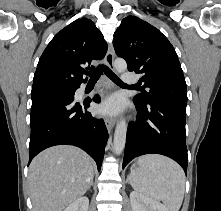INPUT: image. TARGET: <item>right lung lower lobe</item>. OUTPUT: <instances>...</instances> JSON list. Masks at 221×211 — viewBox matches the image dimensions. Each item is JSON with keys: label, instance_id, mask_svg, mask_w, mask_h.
Masks as SVG:
<instances>
[{"label": "right lung lower lobe", "instance_id": "obj_1", "mask_svg": "<svg viewBox=\"0 0 221 211\" xmlns=\"http://www.w3.org/2000/svg\"><path fill=\"white\" fill-rule=\"evenodd\" d=\"M80 86L71 88L74 93ZM72 95L57 94L32 102L29 163L42 150L54 145H74L86 151L100 170L108 131L103 119L92 117L91 99L76 102ZM93 101L100 102L95 96Z\"/></svg>", "mask_w": 221, "mask_h": 211}]
</instances>
